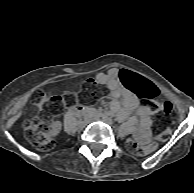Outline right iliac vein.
Segmentation results:
<instances>
[{
    "label": "right iliac vein",
    "mask_w": 194,
    "mask_h": 193,
    "mask_svg": "<svg viewBox=\"0 0 194 193\" xmlns=\"http://www.w3.org/2000/svg\"><path fill=\"white\" fill-rule=\"evenodd\" d=\"M87 124H88V121L81 122V123L79 124V127H80V128H84Z\"/></svg>",
    "instance_id": "obj_1"
}]
</instances>
